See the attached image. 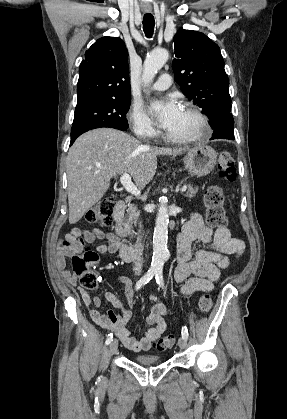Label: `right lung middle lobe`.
Instances as JSON below:
<instances>
[{"instance_id": "1", "label": "right lung middle lobe", "mask_w": 287, "mask_h": 419, "mask_svg": "<svg viewBox=\"0 0 287 419\" xmlns=\"http://www.w3.org/2000/svg\"><path fill=\"white\" fill-rule=\"evenodd\" d=\"M130 104L131 98H123L99 101L76 108L71 129V140L95 128L110 127L122 131L127 130L126 113Z\"/></svg>"}]
</instances>
